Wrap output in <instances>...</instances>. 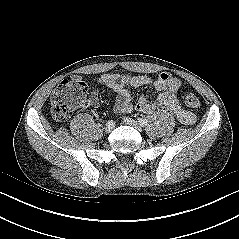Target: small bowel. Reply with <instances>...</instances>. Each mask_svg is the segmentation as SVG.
Instances as JSON below:
<instances>
[{"label": "small bowel", "mask_w": 239, "mask_h": 239, "mask_svg": "<svg viewBox=\"0 0 239 239\" xmlns=\"http://www.w3.org/2000/svg\"><path fill=\"white\" fill-rule=\"evenodd\" d=\"M98 84L110 87L116 92L117 97L114 108L117 112L129 113L137 110L151 114L158 109H165L184 125H192L196 120L194 113L181 107L176 96L181 87V81L170 73L163 72L155 79L144 75L104 73L99 77ZM148 85L159 92L156 99L149 101L142 95L136 103H133L129 89ZM85 105L91 107L99 105V93L97 90L91 93Z\"/></svg>", "instance_id": "c3829d8e"}]
</instances>
